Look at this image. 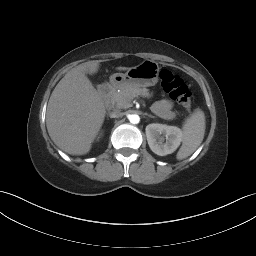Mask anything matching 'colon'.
Segmentation results:
<instances>
[{"mask_svg":"<svg viewBox=\"0 0 256 256\" xmlns=\"http://www.w3.org/2000/svg\"><path fill=\"white\" fill-rule=\"evenodd\" d=\"M160 84L173 100L186 109L193 103V96L185 82L169 69H162L159 73Z\"/></svg>","mask_w":256,"mask_h":256,"instance_id":"1","label":"colon"}]
</instances>
